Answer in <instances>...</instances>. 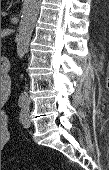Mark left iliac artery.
I'll return each instance as SVG.
<instances>
[{
	"mask_svg": "<svg viewBox=\"0 0 109 170\" xmlns=\"http://www.w3.org/2000/svg\"><path fill=\"white\" fill-rule=\"evenodd\" d=\"M29 108L28 106L24 105L22 106L21 114H20V121L23 120V117L28 113Z\"/></svg>",
	"mask_w": 109,
	"mask_h": 170,
	"instance_id": "obj_1",
	"label": "left iliac artery"
}]
</instances>
